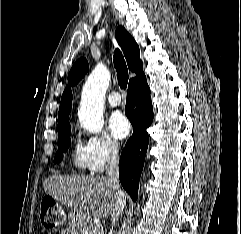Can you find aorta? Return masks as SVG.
<instances>
[{
  "mask_svg": "<svg viewBox=\"0 0 241 234\" xmlns=\"http://www.w3.org/2000/svg\"><path fill=\"white\" fill-rule=\"evenodd\" d=\"M109 82V70L98 65L84 84L78 118L81 126L89 132L99 133L103 128V107Z\"/></svg>",
  "mask_w": 241,
  "mask_h": 234,
  "instance_id": "1",
  "label": "aorta"
}]
</instances>
